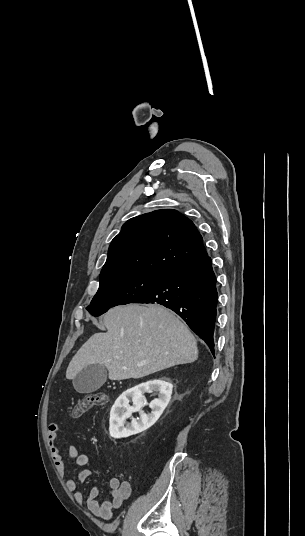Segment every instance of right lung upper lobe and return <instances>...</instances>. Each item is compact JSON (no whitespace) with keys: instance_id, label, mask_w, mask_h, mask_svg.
Wrapping results in <instances>:
<instances>
[{"instance_id":"obj_1","label":"right lung upper lobe","mask_w":305,"mask_h":536,"mask_svg":"<svg viewBox=\"0 0 305 536\" xmlns=\"http://www.w3.org/2000/svg\"><path fill=\"white\" fill-rule=\"evenodd\" d=\"M195 225L176 210L128 220L112 240L100 279L128 273L169 274L207 257Z\"/></svg>"}]
</instances>
